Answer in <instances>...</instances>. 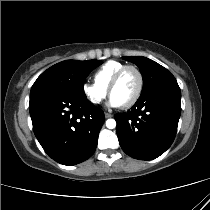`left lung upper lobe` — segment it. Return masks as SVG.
Returning <instances> with one entry per match:
<instances>
[{
    "instance_id": "left-lung-upper-lobe-1",
    "label": "left lung upper lobe",
    "mask_w": 210,
    "mask_h": 210,
    "mask_svg": "<svg viewBox=\"0 0 210 210\" xmlns=\"http://www.w3.org/2000/svg\"><path fill=\"white\" fill-rule=\"evenodd\" d=\"M124 60L135 63L143 77V89L141 96L156 87L177 82L174 76L163 66L143 56H124Z\"/></svg>"
}]
</instances>
